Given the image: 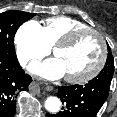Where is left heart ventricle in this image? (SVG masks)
<instances>
[{
    "mask_svg": "<svg viewBox=\"0 0 117 117\" xmlns=\"http://www.w3.org/2000/svg\"><path fill=\"white\" fill-rule=\"evenodd\" d=\"M101 47L97 37L86 33L78 37L70 46L56 52L65 76H81L89 72L98 63Z\"/></svg>",
    "mask_w": 117,
    "mask_h": 117,
    "instance_id": "1",
    "label": "left heart ventricle"
}]
</instances>
